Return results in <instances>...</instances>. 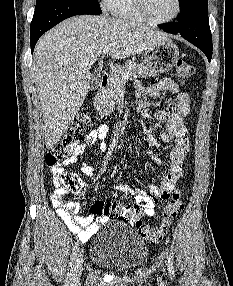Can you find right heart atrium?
I'll use <instances>...</instances> for the list:
<instances>
[{"label":"right heart atrium","mask_w":233,"mask_h":286,"mask_svg":"<svg viewBox=\"0 0 233 286\" xmlns=\"http://www.w3.org/2000/svg\"><path fill=\"white\" fill-rule=\"evenodd\" d=\"M110 0H101V5L103 8H108Z\"/></svg>","instance_id":"d8ad5b80"}]
</instances>
